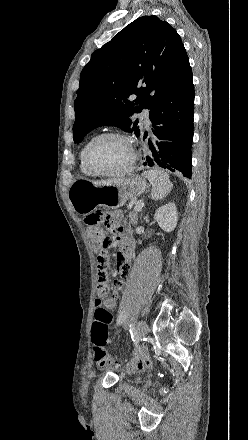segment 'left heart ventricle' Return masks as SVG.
<instances>
[{
	"label": "left heart ventricle",
	"mask_w": 248,
	"mask_h": 440,
	"mask_svg": "<svg viewBox=\"0 0 248 440\" xmlns=\"http://www.w3.org/2000/svg\"><path fill=\"white\" fill-rule=\"evenodd\" d=\"M131 152L128 144L120 138H105L92 149L90 162L100 172H116L128 164Z\"/></svg>",
	"instance_id": "obj_1"
}]
</instances>
